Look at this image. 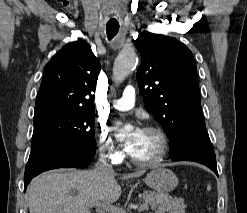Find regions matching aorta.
I'll use <instances>...</instances> for the list:
<instances>
[{
	"label": "aorta",
	"mask_w": 247,
	"mask_h": 213,
	"mask_svg": "<svg viewBox=\"0 0 247 213\" xmlns=\"http://www.w3.org/2000/svg\"><path fill=\"white\" fill-rule=\"evenodd\" d=\"M138 58L133 51H123L117 57L113 67V77L116 82H122L135 67ZM129 128V127H127Z\"/></svg>",
	"instance_id": "aorta-1"
}]
</instances>
